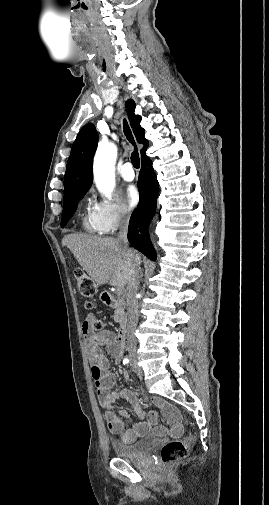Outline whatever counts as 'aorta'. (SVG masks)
Returning a JSON list of instances; mask_svg holds the SVG:
<instances>
[{
  "label": "aorta",
  "instance_id": "obj_1",
  "mask_svg": "<svg viewBox=\"0 0 269 505\" xmlns=\"http://www.w3.org/2000/svg\"><path fill=\"white\" fill-rule=\"evenodd\" d=\"M117 147L108 142L98 146L94 157V181L99 192L111 200L115 188V162Z\"/></svg>",
  "mask_w": 269,
  "mask_h": 505
}]
</instances>
